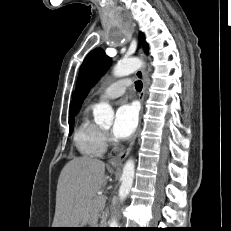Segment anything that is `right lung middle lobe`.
<instances>
[{
	"label": "right lung middle lobe",
	"mask_w": 231,
	"mask_h": 231,
	"mask_svg": "<svg viewBox=\"0 0 231 231\" xmlns=\"http://www.w3.org/2000/svg\"><path fill=\"white\" fill-rule=\"evenodd\" d=\"M73 125H74V118H70V119H69L70 134L72 133Z\"/></svg>",
	"instance_id": "dd1d6c3e"
}]
</instances>
